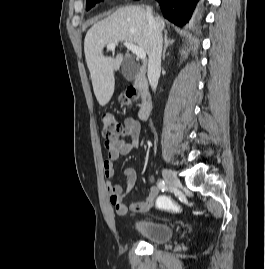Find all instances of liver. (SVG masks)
I'll return each mask as SVG.
<instances>
[{"instance_id": "obj_1", "label": "liver", "mask_w": 265, "mask_h": 269, "mask_svg": "<svg viewBox=\"0 0 265 269\" xmlns=\"http://www.w3.org/2000/svg\"><path fill=\"white\" fill-rule=\"evenodd\" d=\"M161 31L165 23L160 17L154 18ZM130 42L151 51L147 11L139 6L129 5L117 9L107 18L95 23L87 32L84 41V53L90 71L94 94L101 106L111 99L117 71L123 62V54L105 57L103 49L110 43Z\"/></svg>"}]
</instances>
